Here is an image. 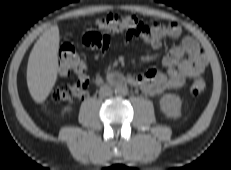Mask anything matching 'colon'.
<instances>
[{
    "label": "colon",
    "mask_w": 231,
    "mask_h": 170,
    "mask_svg": "<svg viewBox=\"0 0 231 170\" xmlns=\"http://www.w3.org/2000/svg\"><path fill=\"white\" fill-rule=\"evenodd\" d=\"M99 31L111 34L123 33L138 36L145 31V25L135 15L109 13L96 21ZM59 72L63 75L75 74L76 80L55 89L51 97L58 102H77L88 93L89 81L86 76V65L81 55L70 44L63 45L59 53ZM206 80L198 75L191 84V93L201 94L206 89Z\"/></svg>",
    "instance_id": "5ec220e1"
}]
</instances>
